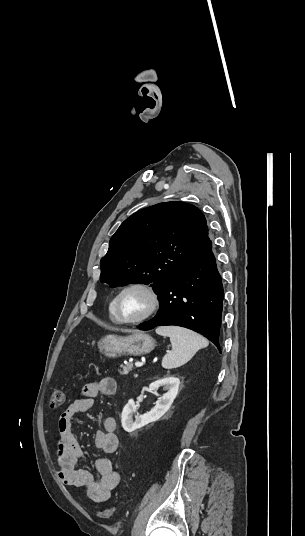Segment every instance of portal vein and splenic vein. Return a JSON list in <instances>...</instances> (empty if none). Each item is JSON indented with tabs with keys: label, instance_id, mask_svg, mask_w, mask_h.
<instances>
[{
	"label": "portal vein and splenic vein",
	"instance_id": "18ae733b",
	"mask_svg": "<svg viewBox=\"0 0 305 536\" xmlns=\"http://www.w3.org/2000/svg\"><path fill=\"white\" fill-rule=\"evenodd\" d=\"M136 368H140V366H143V362H135Z\"/></svg>",
	"mask_w": 305,
	"mask_h": 536
}]
</instances>
